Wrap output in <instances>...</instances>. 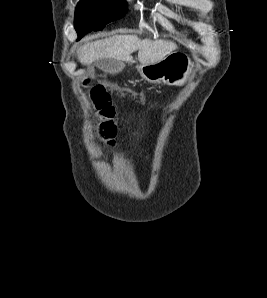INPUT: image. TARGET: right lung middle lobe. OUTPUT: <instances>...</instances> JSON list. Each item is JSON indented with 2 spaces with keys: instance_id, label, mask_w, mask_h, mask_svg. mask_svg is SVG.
I'll list each match as a JSON object with an SVG mask.
<instances>
[{
  "instance_id": "1",
  "label": "right lung middle lobe",
  "mask_w": 267,
  "mask_h": 298,
  "mask_svg": "<svg viewBox=\"0 0 267 298\" xmlns=\"http://www.w3.org/2000/svg\"><path fill=\"white\" fill-rule=\"evenodd\" d=\"M126 11L124 0H81L74 21L79 38L92 30L103 29L107 23L122 18Z\"/></svg>"
}]
</instances>
